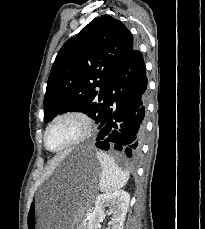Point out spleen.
I'll use <instances>...</instances> for the list:
<instances>
[{"label": "spleen", "mask_w": 205, "mask_h": 229, "mask_svg": "<svg viewBox=\"0 0 205 229\" xmlns=\"http://www.w3.org/2000/svg\"><path fill=\"white\" fill-rule=\"evenodd\" d=\"M97 159L101 166L100 189L104 192H114L125 186L129 173L122 170L109 155L97 152Z\"/></svg>", "instance_id": "1"}]
</instances>
